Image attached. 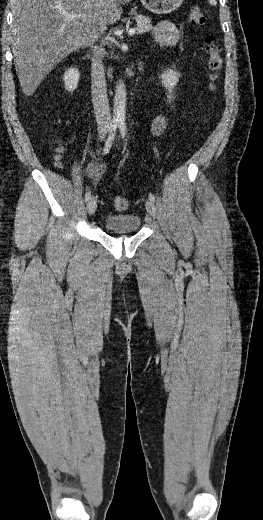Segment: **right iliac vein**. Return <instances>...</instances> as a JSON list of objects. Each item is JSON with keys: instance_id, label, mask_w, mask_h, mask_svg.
Returning a JSON list of instances; mask_svg holds the SVG:
<instances>
[{"instance_id": "1", "label": "right iliac vein", "mask_w": 263, "mask_h": 520, "mask_svg": "<svg viewBox=\"0 0 263 520\" xmlns=\"http://www.w3.org/2000/svg\"><path fill=\"white\" fill-rule=\"evenodd\" d=\"M106 134H107L106 131H102L100 134V139L104 140L106 137ZM96 208H97V199H96V197H92L87 202V211H88L89 215H93L96 211Z\"/></svg>"}]
</instances>
